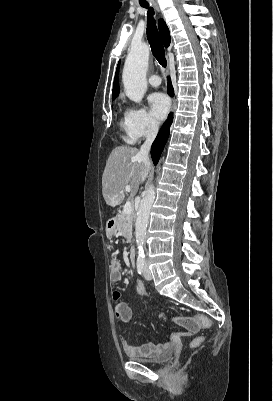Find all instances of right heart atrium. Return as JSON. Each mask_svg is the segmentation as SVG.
<instances>
[{"mask_svg": "<svg viewBox=\"0 0 273 401\" xmlns=\"http://www.w3.org/2000/svg\"><path fill=\"white\" fill-rule=\"evenodd\" d=\"M126 132L131 139H143L153 137L159 125L142 107L131 106L126 110Z\"/></svg>", "mask_w": 273, "mask_h": 401, "instance_id": "d8ad5b80", "label": "right heart atrium"}]
</instances>
